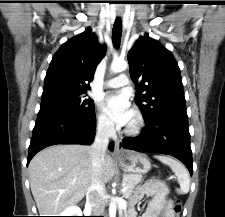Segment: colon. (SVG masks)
<instances>
[{
  "instance_id": "1",
  "label": "colon",
  "mask_w": 225,
  "mask_h": 217,
  "mask_svg": "<svg viewBox=\"0 0 225 217\" xmlns=\"http://www.w3.org/2000/svg\"><path fill=\"white\" fill-rule=\"evenodd\" d=\"M182 209V205L179 200H175L172 204V211L175 217H178Z\"/></svg>"
}]
</instances>
